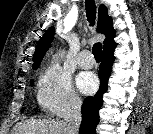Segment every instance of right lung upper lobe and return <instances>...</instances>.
I'll use <instances>...</instances> for the list:
<instances>
[{"label":"right lung upper lobe","mask_w":153,"mask_h":134,"mask_svg":"<svg viewBox=\"0 0 153 134\" xmlns=\"http://www.w3.org/2000/svg\"><path fill=\"white\" fill-rule=\"evenodd\" d=\"M55 29L54 27H50L43 37H41L40 41L37 42L35 54L33 55V69H37L40 65V61L45 55L46 51L51 46L53 37H54ZM98 32L102 33L106 36L104 40L103 50L110 48L115 45L113 38L115 37V30L112 26V19L107 14V8L104 5L99 7L98 13Z\"/></svg>","instance_id":"cb5924a9"}]
</instances>
